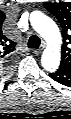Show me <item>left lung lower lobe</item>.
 Returning <instances> with one entry per match:
<instances>
[{"label":"left lung lower lobe","mask_w":71,"mask_h":119,"mask_svg":"<svg viewBox=\"0 0 71 119\" xmlns=\"http://www.w3.org/2000/svg\"><path fill=\"white\" fill-rule=\"evenodd\" d=\"M49 76L60 84L71 86V69L59 67V69L50 73Z\"/></svg>","instance_id":"1"}]
</instances>
